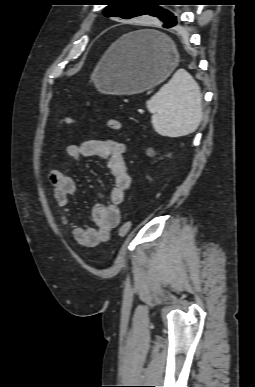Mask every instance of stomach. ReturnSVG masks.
<instances>
[{"label": "stomach", "instance_id": "obj_1", "mask_svg": "<svg viewBox=\"0 0 255 387\" xmlns=\"http://www.w3.org/2000/svg\"><path fill=\"white\" fill-rule=\"evenodd\" d=\"M146 31L124 35L105 53L93 72L96 88L106 94H136L164 81L179 62V53L167 36Z\"/></svg>", "mask_w": 255, "mask_h": 387}]
</instances>
